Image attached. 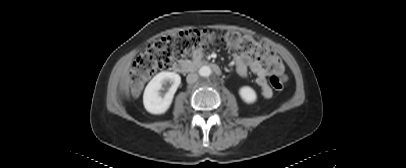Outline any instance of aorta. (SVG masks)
<instances>
[{"label": "aorta", "instance_id": "obj_1", "mask_svg": "<svg viewBox=\"0 0 406 168\" xmlns=\"http://www.w3.org/2000/svg\"><path fill=\"white\" fill-rule=\"evenodd\" d=\"M199 75L200 76H202V77H208V76H210V74H211V69H210V67H208V66H202L200 69H199Z\"/></svg>", "mask_w": 406, "mask_h": 168}]
</instances>
